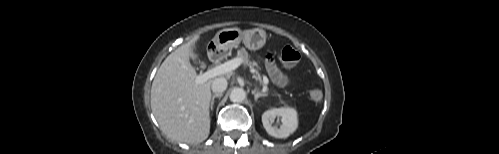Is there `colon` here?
<instances>
[{
    "label": "colon",
    "instance_id": "5ec220e1",
    "mask_svg": "<svg viewBox=\"0 0 499 154\" xmlns=\"http://www.w3.org/2000/svg\"><path fill=\"white\" fill-rule=\"evenodd\" d=\"M280 59L286 67H292L299 62L300 54L294 48L287 46L283 48ZM309 96L313 101L318 102L322 99V92L318 88H313L309 91Z\"/></svg>",
    "mask_w": 499,
    "mask_h": 154
}]
</instances>
